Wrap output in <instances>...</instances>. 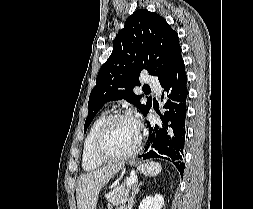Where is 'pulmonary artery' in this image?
I'll return each mask as SVG.
<instances>
[{"label":"pulmonary artery","mask_w":253,"mask_h":209,"mask_svg":"<svg viewBox=\"0 0 253 209\" xmlns=\"http://www.w3.org/2000/svg\"><path fill=\"white\" fill-rule=\"evenodd\" d=\"M145 82L149 85V87L155 91H160L161 90V85L158 82V80L154 77L147 76L145 78Z\"/></svg>","instance_id":"obj_1"}]
</instances>
